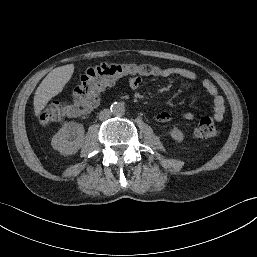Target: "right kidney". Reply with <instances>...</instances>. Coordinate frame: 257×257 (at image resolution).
<instances>
[{
	"label": "right kidney",
	"mask_w": 257,
	"mask_h": 257,
	"mask_svg": "<svg viewBox=\"0 0 257 257\" xmlns=\"http://www.w3.org/2000/svg\"><path fill=\"white\" fill-rule=\"evenodd\" d=\"M84 127L75 122H67L53 136L51 145L63 155L75 154L83 145Z\"/></svg>",
	"instance_id": "ca27d5eb"
}]
</instances>
